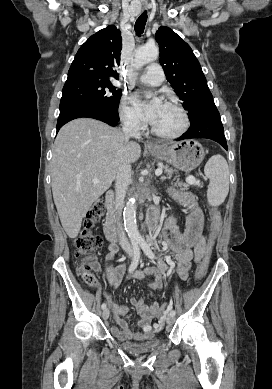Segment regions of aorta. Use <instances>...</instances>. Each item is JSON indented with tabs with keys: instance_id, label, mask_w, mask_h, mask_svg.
Returning <instances> with one entry per match:
<instances>
[{
	"instance_id": "1",
	"label": "aorta",
	"mask_w": 272,
	"mask_h": 389,
	"mask_svg": "<svg viewBox=\"0 0 272 389\" xmlns=\"http://www.w3.org/2000/svg\"><path fill=\"white\" fill-rule=\"evenodd\" d=\"M159 49L156 45H144L135 50L133 66L136 69L141 68L147 63L157 59ZM135 198H130L125 205L123 217L125 230L133 243L141 242L142 236L139 233L136 222V204Z\"/></svg>"
}]
</instances>
